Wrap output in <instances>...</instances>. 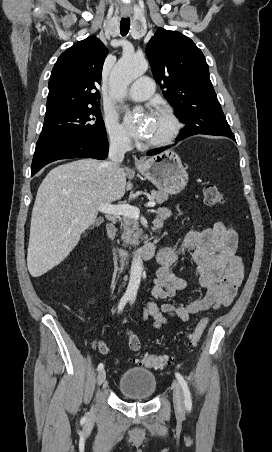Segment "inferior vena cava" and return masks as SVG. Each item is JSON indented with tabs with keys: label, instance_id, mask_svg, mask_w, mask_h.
<instances>
[{
	"label": "inferior vena cava",
	"instance_id": "1",
	"mask_svg": "<svg viewBox=\"0 0 272 452\" xmlns=\"http://www.w3.org/2000/svg\"><path fill=\"white\" fill-rule=\"evenodd\" d=\"M131 148L129 139L120 134H113L110 136V146L108 153V161L104 162V166L109 176L114 175L119 170V165L124 159V155ZM123 266L120 270L122 271Z\"/></svg>",
	"mask_w": 272,
	"mask_h": 452
}]
</instances>
